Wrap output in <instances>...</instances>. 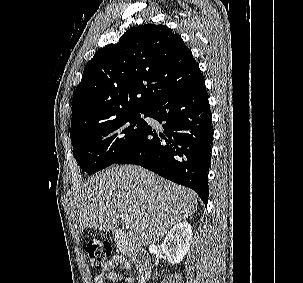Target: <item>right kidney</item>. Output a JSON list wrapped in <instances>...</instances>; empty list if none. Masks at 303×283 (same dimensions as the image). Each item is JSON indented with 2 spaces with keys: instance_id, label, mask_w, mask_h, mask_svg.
<instances>
[{
  "instance_id": "1",
  "label": "right kidney",
  "mask_w": 303,
  "mask_h": 283,
  "mask_svg": "<svg viewBox=\"0 0 303 283\" xmlns=\"http://www.w3.org/2000/svg\"><path fill=\"white\" fill-rule=\"evenodd\" d=\"M192 227L187 222L173 226L162 241L161 248L171 264L180 263L190 248Z\"/></svg>"
}]
</instances>
